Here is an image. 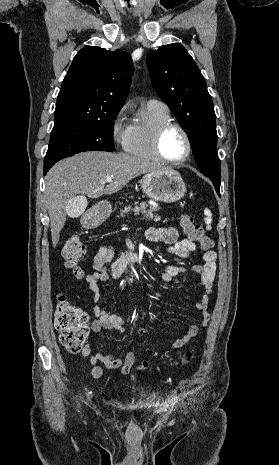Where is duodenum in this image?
<instances>
[{
	"label": "duodenum",
	"instance_id": "1",
	"mask_svg": "<svg viewBox=\"0 0 279 465\" xmlns=\"http://www.w3.org/2000/svg\"><path fill=\"white\" fill-rule=\"evenodd\" d=\"M143 260V257L136 252H126L123 253L120 258L117 260L115 267H114V274L115 277H118L125 266L130 262H137Z\"/></svg>",
	"mask_w": 279,
	"mask_h": 465
}]
</instances>
